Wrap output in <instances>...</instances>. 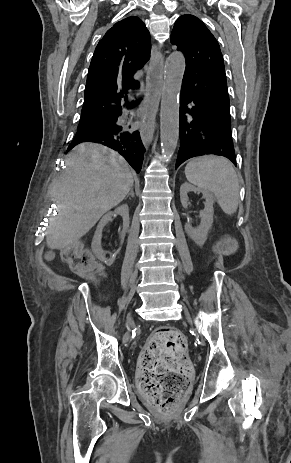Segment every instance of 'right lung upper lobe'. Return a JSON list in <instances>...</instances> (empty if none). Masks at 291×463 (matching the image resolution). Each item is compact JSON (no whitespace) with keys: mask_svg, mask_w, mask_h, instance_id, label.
<instances>
[{"mask_svg":"<svg viewBox=\"0 0 291 463\" xmlns=\"http://www.w3.org/2000/svg\"><path fill=\"white\" fill-rule=\"evenodd\" d=\"M150 39L143 21L134 16L117 22L105 33L90 63L80 120L121 109L123 93L139 88L133 74L150 59Z\"/></svg>","mask_w":291,"mask_h":463,"instance_id":"1","label":"right lung upper lobe"}]
</instances>
